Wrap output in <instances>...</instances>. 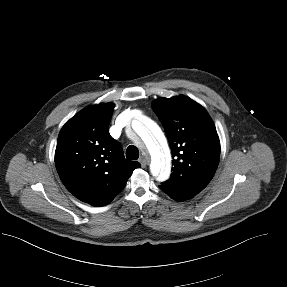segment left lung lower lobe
<instances>
[{"label":"left lung lower lobe","instance_id":"obj_1","mask_svg":"<svg viewBox=\"0 0 287 287\" xmlns=\"http://www.w3.org/2000/svg\"><path fill=\"white\" fill-rule=\"evenodd\" d=\"M159 188L164 191L166 194H168L172 199L176 200V201H184L186 199H184L183 197L178 196L177 194L171 192L170 190L166 189L165 187H163L162 185L159 186Z\"/></svg>","mask_w":287,"mask_h":287}]
</instances>
